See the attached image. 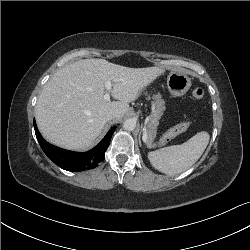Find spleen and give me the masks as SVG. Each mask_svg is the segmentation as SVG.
I'll list each match as a JSON object with an SVG mask.
<instances>
[{"label": "spleen", "instance_id": "1", "mask_svg": "<svg viewBox=\"0 0 250 250\" xmlns=\"http://www.w3.org/2000/svg\"><path fill=\"white\" fill-rule=\"evenodd\" d=\"M210 135L201 131L181 145H173L148 153L152 166L173 176L189 169L201 157L209 143Z\"/></svg>", "mask_w": 250, "mask_h": 250}]
</instances>
